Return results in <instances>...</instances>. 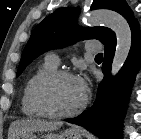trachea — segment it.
<instances>
[{"label":"trachea","instance_id":"1","mask_svg":"<svg viewBox=\"0 0 141 139\" xmlns=\"http://www.w3.org/2000/svg\"><path fill=\"white\" fill-rule=\"evenodd\" d=\"M103 57V54L102 53H99L96 55V58H102Z\"/></svg>","mask_w":141,"mask_h":139}]
</instances>
